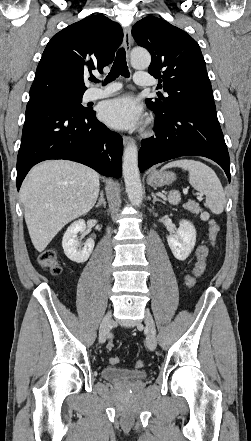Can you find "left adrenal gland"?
Returning a JSON list of instances; mask_svg holds the SVG:
<instances>
[{"instance_id":"obj_1","label":"left adrenal gland","mask_w":251,"mask_h":441,"mask_svg":"<svg viewBox=\"0 0 251 441\" xmlns=\"http://www.w3.org/2000/svg\"><path fill=\"white\" fill-rule=\"evenodd\" d=\"M151 196L153 198V204H155L157 201L163 202L162 200H160L159 198H157V196L154 194V192L151 193ZM164 203V202H163Z\"/></svg>"}]
</instances>
